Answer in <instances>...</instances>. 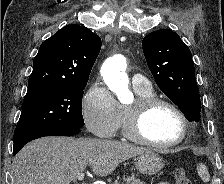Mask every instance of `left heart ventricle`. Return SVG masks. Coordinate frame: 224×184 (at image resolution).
I'll return each mask as SVG.
<instances>
[{
  "instance_id": "1",
  "label": "left heart ventricle",
  "mask_w": 224,
  "mask_h": 184,
  "mask_svg": "<svg viewBox=\"0 0 224 184\" xmlns=\"http://www.w3.org/2000/svg\"><path fill=\"white\" fill-rule=\"evenodd\" d=\"M144 132L152 141L165 144L180 137L182 124L174 111L166 106H159L148 116Z\"/></svg>"
}]
</instances>
